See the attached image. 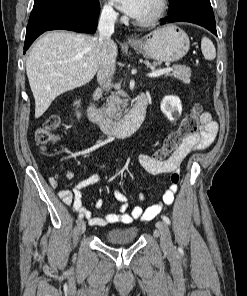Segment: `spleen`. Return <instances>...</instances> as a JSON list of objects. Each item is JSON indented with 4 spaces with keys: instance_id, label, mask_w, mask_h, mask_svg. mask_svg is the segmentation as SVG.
Returning a JSON list of instances; mask_svg holds the SVG:
<instances>
[{
    "instance_id": "obj_1",
    "label": "spleen",
    "mask_w": 247,
    "mask_h": 296,
    "mask_svg": "<svg viewBox=\"0 0 247 296\" xmlns=\"http://www.w3.org/2000/svg\"><path fill=\"white\" fill-rule=\"evenodd\" d=\"M201 50L202 53L207 60H213L216 57V50L212 43V41L207 38L203 37L201 40Z\"/></svg>"
}]
</instances>
